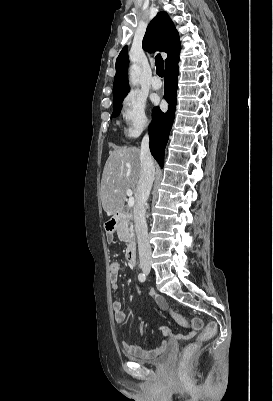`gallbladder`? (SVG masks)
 <instances>
[{"instance_id": "gallbladder-1", "label": "gallbladder", "mask_w": 273, "mask_h": 401, "mask_svg": "<svg viewBox=\"0 0 273 401\" xmlns=\"http://www.w3.org/2000/svg\"><path fill=\"white\" fill-rule=\"evenodd\" d=\"M106 237L108 238L107 244H108L109 246H112V245L114 244V241H113V232H112V231H107V232H106Z\"/></svg>"}]
</instances>
